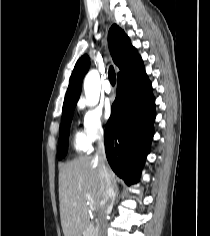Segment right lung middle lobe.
Instances as JSON below:
<instances>
[{
  "instance_id": "right-lung-middle-lobe-1",
  "label": "right lung middle lobe",
  "mask_w": 210,
  "mask_h": 236,
  "mask_svg": "<svg viewBox=\"0 0 210 236\" xmlns=\"http://www.w3.org/2000/svg\"><path fill=\"white\" fill-rule=\"evenodd\" d=\"M73 109L62 112L60 136L58 142V158L61 159L67 154V144L69 140V130L72 120Z\"/></svg>"
}]
</instances>
